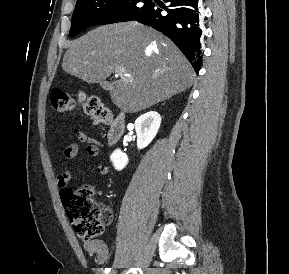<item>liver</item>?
<instances>
[{
    "instance_id": "1",
    "label": "liver",
    "mask_w": 289,
    "mask_h": 274,
    "mask_svg": "<svg viewBox=\"0 0 289 274\" xmlns=\"http://www.w3.org/2000/svg\"><path fill=\"white\" fill-rule=\"evenodd\" d=\"M125 75L109 88L127 113L145 110L193 84L194 70L174 43L137 22L104 25L71 41L62 61L68 74L101 83L115 70Z\"/></svg>"
}]
</instances>
